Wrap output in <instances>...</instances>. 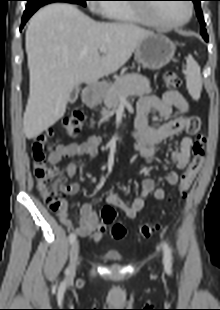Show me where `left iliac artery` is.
<instances>
[{
    "label": "left iliac artery",
    "mask_w": 220,
    "mask_h": 310,
    "mask_svg": "<svg viewBox=\"0 0 220 310\" xmlns=\"http://www.w3.org/2000/svg\"><path fill=\"white\" fill-rule=\"evenodd\" d=\"M163 253H164V259H163L164 266L167 271H170L172 267V254H171L170 247L168 246L166 242H164L163 244Z\"/></svg>",
    "instance_id": "44dca946"
}]
</instances>
